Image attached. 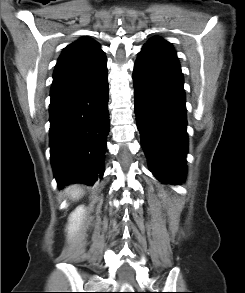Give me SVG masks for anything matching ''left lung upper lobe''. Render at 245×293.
<instances>
[{
    "label": "left lung upper lobe",
    "mask_w": 245,
    "mask_h": 293,
    "mask_svg": "<svg viewBox=\"0 0 245 293\" xmlns=\"http://www.w3.org/2000/svg\"><path fill=\"white\" fill-rule=\"evenodd\" d=\"M147 48H153L167 54H170L177 58L175 50L172 48L171 44L160 37L151 38L148 43L144 45Z\"/></svg>",
    "instance_id": "left-lung-upper-lobe-1"
}]
</instances>
